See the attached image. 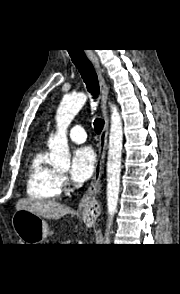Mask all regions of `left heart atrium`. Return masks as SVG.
<instances>
[{
	"label": "left heart atrium",
	"mask_w": 180,
	"mask_h": 294,
	"mask_svg": "<svg viewBox=\"0 0 180 294\" xmlns=\"http://www.w3.org/2000/svg\"><path fill=\"white\" fill-rule=\"evenodd\" d=\"M96 165V157L93 149L84 146L77 149L72 158L70 176L77 182H83L91 177Z\"/></svg>",
	"instance_id": "obj_1"
}]
</instances>
